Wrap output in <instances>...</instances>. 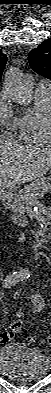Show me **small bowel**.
<instances>
[{
	"label": "small bowel",
	"mask_w": 51,
	"mask_h": 393,
	"mask_svg": "<svg viewBox=\"0 0 51 393\" xmlns=\"http://www.w3.org/2000/svg\"><path fill=\"white\" fill-rule=\"evenodd\" d=\"M29 301L31 303V306H32V309H33L34 312H39V311H41L44 308V304H45L44 298L41 295H39V294L31 295L29 297ZM23 313H24V309L22 307H18L15 310V315H17V316H22ZM12 336H13V332L12 331L11 332L5 331L1 335V339L4 342H8L12 338ZM15 346H17V345H15Z\"/></svg>",
	"instance_id": "1"
}]
</instances>
